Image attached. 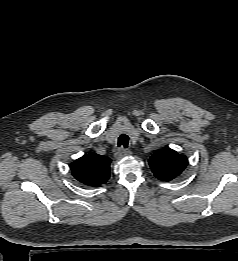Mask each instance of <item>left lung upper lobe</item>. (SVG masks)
<instances>
[{
	"mask_svg": "<svg viewBox=\"0 0 238 261\" xmlns=\"http://www.w3.org/2000/svg\"><path fill=\"white\" fill-rule=\"evenodd\" d=\"M188 159L175 150L167 148L155 152L149 159V165L155 177L162 181H171L185 169Z\"/></svg>",
	"mask_w": 238,
	"mask_h": 261,
	"instance_id": "left-lung-upper-lobe-1",
	"label": "left lung upper lobe"
}]
</instances>
